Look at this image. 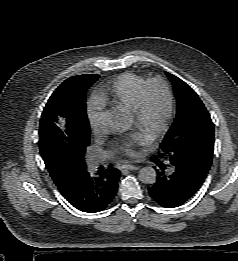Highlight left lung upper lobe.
<instances>
[{"label": "left lung upper lobe", "mask_w": 238, "mask_h": 261, "mask_svg": "<svg viewBox=\"0 0 238 261\" xmlns=\"http://www.w3.org/2000/svg\"><path fill=\"white\" fill-rule=\"evenodd\" d=\"M177 99L176 118L160 144V157L171 163L198 166L208 172L214 150V125L195 91L180 78L166 72Z\"/></svg>", "instance_id": "1"}]
</instances>
